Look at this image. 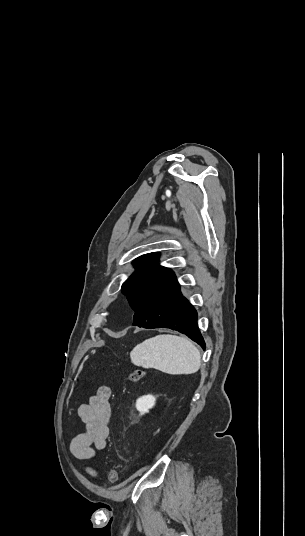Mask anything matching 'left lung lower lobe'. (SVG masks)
Wrapping results in <instances>:
<instances>
[{
	"mask_svg": "<svg viewBox=\"0 0 305 536\" xmlns=\"http://www.w3.org/2000/svg\"><path fill=\"white\" fill-rule=\"evenodd\" d=\"M133 325L177 330L188 335L205 349L204 339L197 326V312L182 296L176 279L147 299L135 311Z\"/></svg>",
	"mask_w": 305,
	"mask_h": 536,
	"instance_id": "1",
	"label": "left lung lower lobe"
}]
</instances>
